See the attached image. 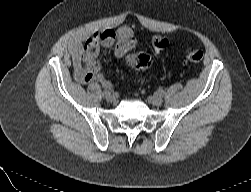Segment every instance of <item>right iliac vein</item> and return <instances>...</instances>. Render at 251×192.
Returning a JSON list of instances; mask_svg holds the SVG:
<instances>
[{
	"mask_svg": "<svg viewBox=\"0 0 251 192\" xmlns=\"http://www.w3.org/2000/svg\"><path fill=\"white\" fill-rule=\"evenodd\" d=\"M106 99H107V101H109V102H115V101H116V97H115L114 94H109V95H107Z\"/></svg>",
	"mask_w": 251,
	"mask_h": 192,
	"instance_id": "obj_1",
	"label": "right iliac vein"
}]
</instances>
